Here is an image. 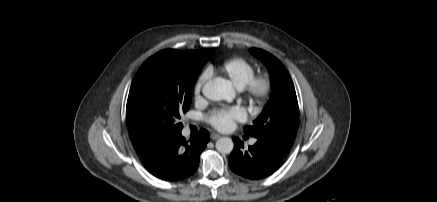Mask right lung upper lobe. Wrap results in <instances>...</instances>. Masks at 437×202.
<instances>
[{
  "mask_svg": "<svg viewBox=\"0 0 437 202\" xmlns=\"http://www.w3.org/2000/svg\"><path fill=\"white\" fill-rule=\"evenodd\" d=\"M210 51L211 50H194V51H187V52H181V53L184 55V57L187 59V61L194 62L197 59L205 57L207 54L210 53ZM133 142H134L135 147L137 148L138 152L140 153V155L142 157L145 156L146 154H148L150 151H152L155 148V146H152V147L143 146L134 139H133Z\"/></svg>",
  "mask_w": 437,
  "mask_h": 202,
  "instance_id": "1",
  "label": "right lung upper lobe"
}]
</instances>
